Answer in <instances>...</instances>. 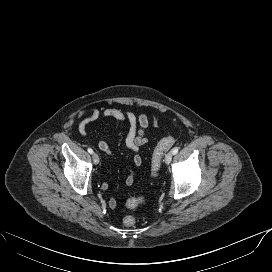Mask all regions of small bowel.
Masks as SVG:
<instances>
[{
  "label": "small bowel",
  "instance_id": "obj_1",
  "mask_svg": "<svg viewBox=\"0 0 272 272\" xmlns=\"http://www.w3.org/2000/svg\"><path fill=\"white\" fill-rule=\"evenodd\" d=\"M113 118L120 122L126 123L129 126V131L126 137V146L133 152V164L139 167L142 164V157L139 150L142 146L148 144L153 137V133L147 134L146 130L152 123L154 128L159 127V118L156 116L150 120L149 116L142 112L139 114L131 110H124L119 108H107L104 111L98 108L83 109L78 112V117L81 118L78 130L82 136H88L87 126L99 119L100 117ZM97 147L107 156H112L111 149L108 143L104 140H99ZM135 181V174L133 168L129 169V173L125 179V183L131 186ZM103 190L108 188L107 183L101 185ZM109 207L114 209L117 207V200L111 198L109 200Z\"/></svg>",
  "mask_w": 272,
  "mask_h": 272
}]
</instances>
